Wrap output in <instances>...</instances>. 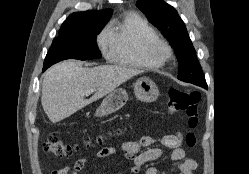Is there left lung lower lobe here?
<instances>
[{
    "instance_id": "obj_1",
    "label": "left lung lower lobe",
    "mask_w": 249,
    "mask_h": 174,
    "mask_svg": "<svg viewBox=\"0 0 249 174\" xmlns=\"http://www.w3.org/2000/svg\"><path fill=\"white\" fill-rule=\"evenodd\" d=\"M191 83L207 89V84H206L205 79H200V80H197V81H193Z\"/></svg>"
}]
</instances>
